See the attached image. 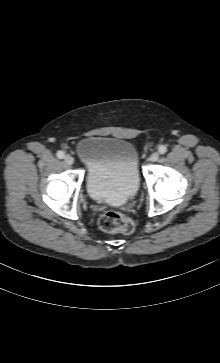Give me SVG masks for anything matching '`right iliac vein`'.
<instances>
[{
	"instance_id": "obj_1",
	"label": "right iliac vein",
	"mask_w": 220,
	"mask_h": 363,
	"mask_svg": "<svg viewBox=\"0 0 220 363\" xmlns=\"http://www.w3.org/2000/svg\"><path fill=\"white\" fill-rule=\"evenodd\" d=\"M64 162H65L67 165H72V164H73V162H74V160H73V158H72V156H71V155H66V156L64 157Z\"/></svg>"
}]
</instances>
